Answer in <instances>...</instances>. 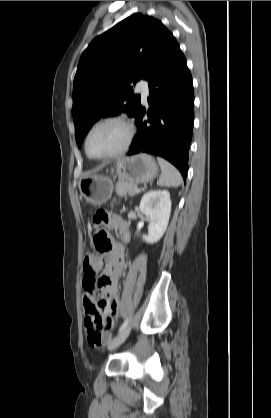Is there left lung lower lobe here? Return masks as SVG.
Wrapping results in <instances>:
<instances>
[{
  "mask_svg": "<svg viewBox=\"0 0 271 418\" xmlns=\"http://www.w3.org/2000/svg\"><path fill=\"white\" fill-rule=\"evenodd\" d=\"M148 119L140 106L135 114L138 133L128 155L149 153L174 164L184 180L194 124V89L186 59L173 38L150 77Z\"/></svg>",
  "mask_w": 271,
  "mask_h": 418,
  "instance_id": "obj_1",
  "label": "left lung lower lobe"
}]
</instances>
